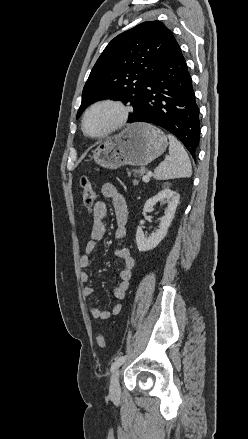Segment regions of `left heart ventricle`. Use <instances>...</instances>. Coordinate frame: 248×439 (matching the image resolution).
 Instances as JSON below:
<instances>
[{
    "label": "left heart ventricle",
    "mask_w": 248,
    "mask_h": 439,
    "mask_svg": "<svg viewBox=\"0 0 248 439\" xmlns=\"http://www.w3.org/2000/svg\"><path fill=\"white\" fill-rule=\"evenodd\" d=\"M118 116V110L112 106L97 107L87 117L86 130L92 135L99 134L111 127Z\"/></svg>",
    "instance_id": "b2bd125f"
}]
</instances>
